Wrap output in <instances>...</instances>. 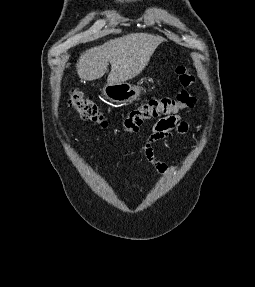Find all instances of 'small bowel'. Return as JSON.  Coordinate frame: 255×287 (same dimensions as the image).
<instances>
[{
    "mask_svg": "<svg viewBox=\"0 0 255 287\" xmlns=\"http://www.w3.org/2000/svg\"><path fill=\"white\" fill-rule=\"evenodd\" d=\"M173 131L180 134L186 133L188 131V124L178 115H169L161 118L153 125L152 133L144 145L146 161L160 174L171 173L174 171V168L156 159L153 145L160 140L170 137Z\"/></svg>",
    "mask_w": 255,
    "mask_h": 287,
    "instance_id": "c3829d8e",
    "label": "small bowel"
}]
</instances>
